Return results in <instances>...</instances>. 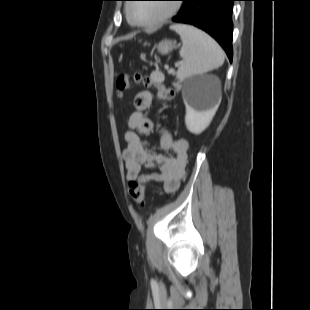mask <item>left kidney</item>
<instances>
[{"label":"left kidney","mask_w":310,"mask_h":310,"mask_svg":"<svg viewBox=\"0 0 310 310\" xmlns=\"http://www.w3.org/2000/svg\"><path fill=\"white\" fill-rule=\"evenodd\" d=\"M186 116L185 123L187 129L195 134H200L204 131L212 121L215 115L216 109H200L193 106L189 99H185Z\"/></svg>","instance_id":"obj_1"}]
</instances>
